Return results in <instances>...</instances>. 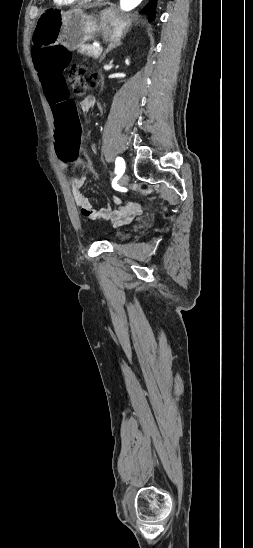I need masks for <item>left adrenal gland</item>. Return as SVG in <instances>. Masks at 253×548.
Instances as JSON below:
<instances>
[{"mask_svg":"<svg viewBox=\"0 0 253 548\" xmlns=\"http://www.w3.org/2000/svg\"><path fill=\"white\" fill-rule=\"evenodd\" d=\"M120 45H122V43H121V42H117V41H116V42H111V43H109L107 49L105 50V52L103 53V55H102V57H101V59H100V62H101L103 59H105L106 55H107L112 49H114V48H116V47H118V46H120Z\"/></svg>","mask_w":253,"mask_h":548,"instance_id":"left-adrenal-gland-1","label":"left adrenal gland"}]
</instances>
